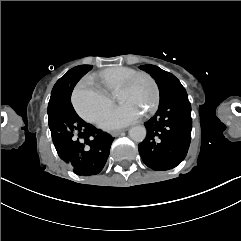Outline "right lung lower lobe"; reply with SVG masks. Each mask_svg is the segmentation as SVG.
Instances as JSON below:
<instances>
[{
    "mask_svg": "<svg viewBox=\"0 0 241 241\" xmlns=\"http://www.w3.org/2000/svg\"><path fill=\"white\" fill-rule=\"evenodd\" d=\"M92 69L91 65L77 66L69 79V89ZM114 138L86 123L77 114L67 116L53 141L59 157L72 166L78 175L98 174L104 167Z\"/></svg>",
    "mask_w": 241,
    "mask_h": 241,
    "instance_id": "98d812e1",
    "label": "right lung lower lobe"
}]
</instances>
